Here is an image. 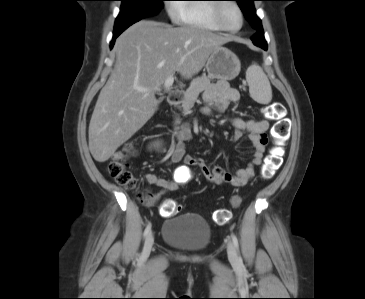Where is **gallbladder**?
Returning a JSON list of instances; mask_svg holds the SVG:
<instances>
[{
    "label": "gallbladder",
    "instance_id": "bac80fb5",
    "mask_svg": "<svg viewBox=\"0 0 365 299\" xmlns=\"http://www.w3.org/2000/svg\"><path fill=\"white\" fill-rule=\"evenodd\" d=\"M162 100H163V98H159V99H158V101H159V102H162Z\"/></svg>",
    "mask_w": 365,
    "mask_h": 299
}]
</instances>
